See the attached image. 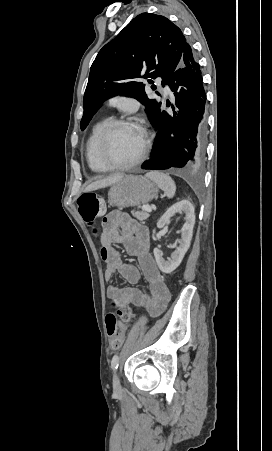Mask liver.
I'll return each instance as SVG.
<instances>
[{
  "label": "liver",
  "instance_id": "6515ba94",
  "mask_svg": "<svg viewBox=\"0 0 272 451\" xmlns=\"http://www.w3.org/2000/svg\"><path fill=\"white\" fill-rule=\"evenodd\" d=\"M124 178V174H115V176H110V178H104V180H97V182H92L87 188L86 192H91V190H99V188H106V186H112V184H117Z\"/></svg>",
  "mask_w": 272,
  "mask_h": 451
}]
</instances>
